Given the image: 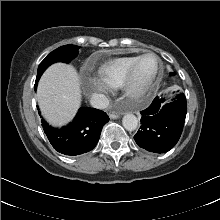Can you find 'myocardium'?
<instances>
[{
    "label": "myocardium",
    "instance_id": "1",
    "mask_svg": "<svg viewBox=\"0 0 220 220\" xmlns=\"http://www.w3.org/2000/svg\"><path fill=\"white\" fill-rule=\"evenodd\" d=\"M147 56H152L157 61V70L152 78H150L145 83H138L137 81V68L140 62ZM162 72V62L158 55L153 52H146L140 55L133 65L130 67L127 76L125 78L124 84L122 86L125 94L132 99H140L145 96V94L152 88V86L159 79Z\"/></svg>",
    "mask_w": 220,
    "mask_h": 220
}]
</instances>
